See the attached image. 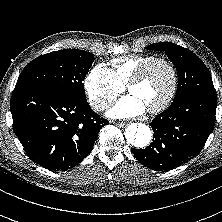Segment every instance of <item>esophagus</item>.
<instances>
[{
    "label": "esophagus",
    "mask_w": 222,
    "mask_h": 222,
    "mask_svg": "<svg viewBox=\"0 0 222 222\" xmlns=\"http://www.w3.org/2000/svg\"><path fill=\"white\" fill-rule=\"evenodd\" d=\"M117 125L119 127H125L127 124L125 122H118Z\"/></svg>",
    "instance_id": "1"
}]
</instances>
